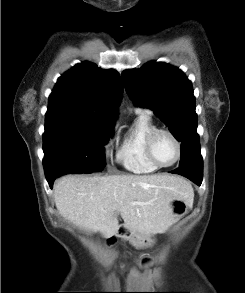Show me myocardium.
<instances>
[{
  "label": "myocardium",
  "mask_w": 245,
  "mask_h": 293,
  "mask_svg": "<svg viewBox=\"0 0 245 293\" xmlns=\"http://www.w3.org/2000/svg\"><path fill=\"white\" fill-rule=\"evenodd\" d=\"M160 134H166L168 135L173 143L175 144V147H176V157L175 159L169 163V164H161L155 157L154 155V143H155V140L156 138L160 135ZM146 155H147V158L149 159V161L154 164L156 167L158 168H168V167H171L173 166L174 164H176L178 162V160L180 159V156H181V142L179 141V139L176 137V135L168 130V129H165V128H157L155 129L154 131H152L148 138H147V141H146Z\"/></svg>",
  "instance_id": "myocardium-1"
}]
</instances>
